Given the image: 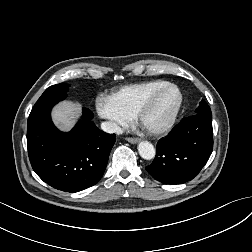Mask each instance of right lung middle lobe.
Returning <instances> with one entry per match:
<instances>
[{"label":"right lung middle lobe","instance_id":"dd1d6c3e","mask_svg":"<svg viewBox=\"0 0 252 252\" xmlns=\"http://www.w3.org/2000/svg\"><path fill=\"white\" fill-rule=\"evenodd\" d=\"M67 84H56L47 88L42 96L35 103L30 114H35L40 110L52 106L66 98L68 92Z\"/></svg>","mask_w":252,"mask_h":252}]
</instances>
